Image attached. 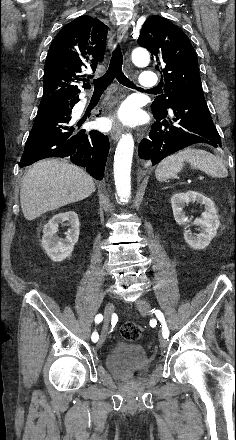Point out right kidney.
I'll use <instances>...</instances> for the list:
<instances>
[{"label": "right kidney", "mask_w": 236, "mask_h": 440, "mask_svg": "<svg viewBox=\"0 0 236 440\" xmlns=\"http://www.w3.org/2000/svg\"><path fill=\"white\" fill-rule=\"evenodd\" d=\"M59 225L69 226L64 239L57 236ZM79 226V218L74 211L58 213L44 225L42 247L52 261L60 262L71 256L79 239Z\"/></svg>", "instance_id": "ca27d5eb"}]
</instances>
